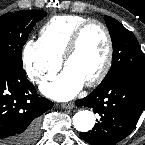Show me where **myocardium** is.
Returning <instances> with one entry per match:
<instances>
[{
    "label": "myocardium",
    "instance_id": "obj_1",
    "mask_svg": "<svg viewBox=\"0 0 145 145\" xmlns=\"http://www.w3.org/2000/svg\"><path fill=\"white\" fill-rule=\"evenodd\" d=\"M90 25L100 26L102 28V30L104 31L106 40H107V52H106L104 63L102 65L100 71L92 79L85 82L86 86L94 87V86H97L98 84H100L105 79L107 74L109 73L110 68L112 66V62H113V56H114L113 39H112L110 30L103 22H101L100 20H97V19H88L87 21L80 24L73 32V34L69 40V43L66 47V50L61 58V61H62L63 66L66 67L68 60L73 56V54L76 52V50L78 48V45H79L83 32Z\"/></svg>",
    "mask_w": 145,
    "mask_h": 145
}]
</instances>
